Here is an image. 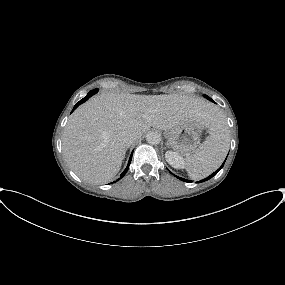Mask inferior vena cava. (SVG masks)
<instances>
[{
	"mask_svg": "<svg viewBox=\"0 0 285 285\" xmlns=\"http://www.w3.org/2000/svg\"><path fill=\"white\" fill-rule=\"evenodd\" d=\"M137 139H138L137 135L131 133H127L122 136V142L127 147L133 144L135 141H137Z\"/></svg>",
	"mask_w": 285,
	"mask_h": 285,
	"instance_id": "inferior-vena-cava-1",
	"label": "inferior vena cava"
}]
</instances>
